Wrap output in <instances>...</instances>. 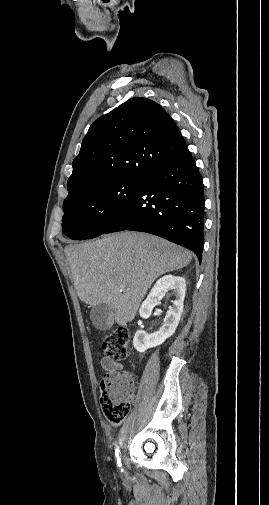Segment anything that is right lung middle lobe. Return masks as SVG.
<instances>
[{"label": "right lung middle lobe", "instance_id": "dd1d6c3e", "mask_svg": "<svg viewBox=\"0 0 269 505\" xmlns=\"http://www.w3.org/2000/svg\"><path fill=\"white\" fill-rule=\"evenodd\" d=\"M140 180H119L86 189L64 201L63 233L75 240L103 234L137 193Z\"/></svg>", "mask_w": 269, "mask_h": 505}]
</instances>
